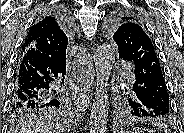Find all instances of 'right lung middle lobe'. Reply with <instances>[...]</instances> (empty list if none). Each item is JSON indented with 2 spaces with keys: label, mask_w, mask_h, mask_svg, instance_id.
Listing matches in <instances>:
<instances>
[{
  "label": "right lung middle lobe",
  "mask_w": 184,
  "mask_h": 133,
  "mask_svg": "<svg viewBox=\"0 0 184 133\" xmlns=\"http://www.w3.org/2000/svg\"><path fill=\"white\" fill-rule=\"evenodd\" d=\"M62 106H64V103L61 98L49 105H39V106L26 105V104H15L13 100V104H12L13 111L12 112L16 116L28 115L38 110L40 111L46 110L51 113H56V112L61 111Z\"/></svg>",
  "instance_id": "dd1d6c3e"
}]
</instances>
